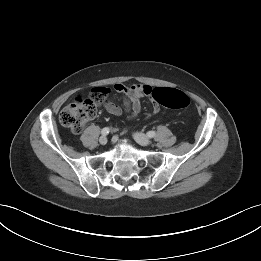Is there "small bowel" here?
Instances as JSON below:
<instances>
[{"label": "small bowel", "mask_w": 261, "mask_h": 261, "mask_svg": "<svg viewBox=\"0 0 261 261\" xmlns=\"http://www.w3.org/2000/svg\"><path fill=\"white\" fill-rule=\"evenodd\" d=\"M114 88L117 92L126 96L123 107L111 101H105V109L115 116H119L123 111H126L131 117H136L141 111L140 98L143 96H151L153 91L151 86L143 84L124 85L117 83ZM153 112H158L157 106H154Z\"/></svg>", "instance_id": "c3829d8e"}]
</instances>
